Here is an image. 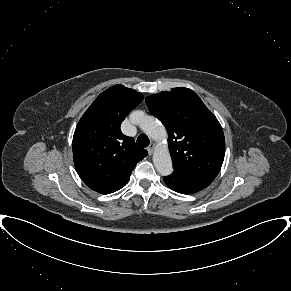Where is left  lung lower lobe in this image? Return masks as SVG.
<instances>
[{
	"label": "left lung lower lobe",
	"mask_w": 291,
	"mask_h": 291,
	"mask_svg": "<svg viewBox=\"0 0 291 291\" xmlns=\"http://www.w3.org/2000/svg\"><path fill=\"white\" fill-rule=\"evenodd\" d=\"M165 184L172 190L182 194H192L209 186L214 178L191 175L175 171L163 178Z\"/></svg>",
	"instance_id": "0a47b994"
}]
</instances>
